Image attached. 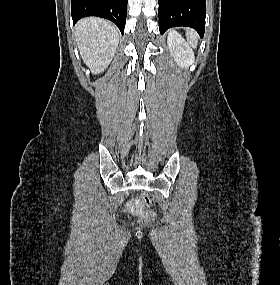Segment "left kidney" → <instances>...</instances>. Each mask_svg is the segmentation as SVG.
Masks as SVG:
<instances>
[{
	"mask_svg": "<svg viewBox=\"0 0 280 285\" xmlns=\"http://www.w3.org/2000/svg\"><path fill=\"white\" fill-rule=\"evenodd\" d=\"M167 43L174 60L181 68L187 69L194 63V53L188 43L176 31H170Z\"/></svg>",
	"mask_w": 280,
	"mask_h": 285,
	"instance_id": "5707ae66",
	"label": "left kidney"
}]
</instances>
